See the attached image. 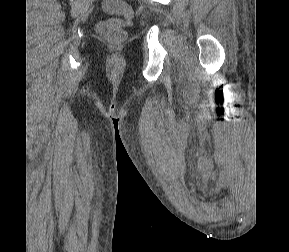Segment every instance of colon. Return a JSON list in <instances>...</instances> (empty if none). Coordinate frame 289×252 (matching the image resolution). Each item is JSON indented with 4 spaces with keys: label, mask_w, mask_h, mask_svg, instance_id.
Instances as JSON below:
<instances>
[{
    "label": "colon",
    "mask_w": 289,
    "mask_h": 252,
    "mask_svg": "<svg viewBox=\"0 0 289 252\" xmlns=\"http://www.w3.org/2000/svg\"><path fill=\"white\" fill-rule=\"evenodd\" d=\"M103 9L106 13L122 16L109 18L98 24V33L108 41L120 43L125 39L124 26L133 17L132 8L123 0H104Z\"/></svg>",
    "instance_id": "obj_1"
}]
</instances>
